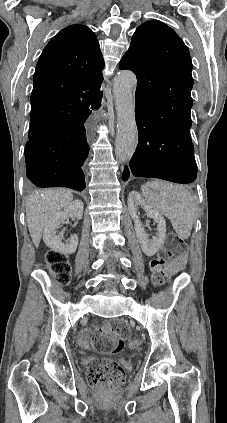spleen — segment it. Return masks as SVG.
Listing matches in <instances>:
<instances>
[{
    "label": "spleen",
    "instance_id": "1",
    "mask_svg": "<svg viewBox=\"0 0 227 423\" xmlns=\"http://www.w3.org/2000/svg\"><path fill=\"white\" fill-rule=\"evenodd\" d=\"M148 206L168 217L178 237L187 239L191 235L196 217L194 200L183 186H174L171 182L152 180L141 188Z\"/></svg>",
    "mask_w": 227,
    "mask_h": 423
}]
</instances>
